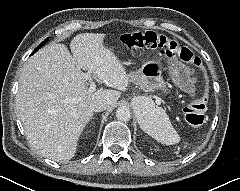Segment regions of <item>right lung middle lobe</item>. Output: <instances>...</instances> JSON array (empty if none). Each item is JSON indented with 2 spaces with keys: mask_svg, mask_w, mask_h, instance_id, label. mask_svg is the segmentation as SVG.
<instances>
[{
  "mask_svg": "<svg viewBox=\"0 0 240 191\" xmlns=\"http://www.w3.org/2000/svg\"><path fill=\"white\" fill-rule=\"evenodd\" d=\"M47 41H48V38L45 39L38 47H42ZM37 50L38 48H36L32 54H34Z\"/></svg>",
  "mask_w": 240,
  "mask_h": 191,
  "instance_id": "1",
  "label": "right lung middle lobe"
}]
</instances>
